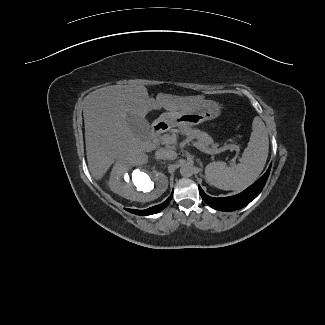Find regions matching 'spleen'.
Returning <instances> with one entry per match:
<instances>
[{
    "label": "spleen",
    "mask_w": 325,
    "mask_h": 325,
    "mask_svg": "<svg viewBox=\"0 0 325 325\" xmlns=\"http://www.w3.org/2000/svg\"><path fill=\"white\" fill-rule=\"evenodd\" d=\"M269 150L266 126L260 117L252 123L250 141L240 162L226 166L224 162L210 163L205 168L206 181L222 190H241L252 184L260 175Z\"/></svg>",
    "instance_id": "spleen-1"
}]
</instances>
